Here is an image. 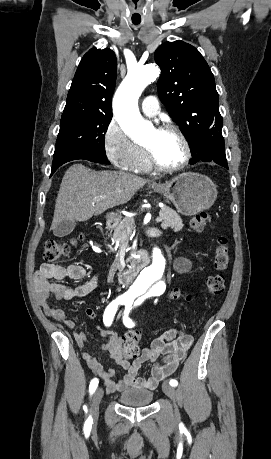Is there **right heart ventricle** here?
<instances>
[{"mask_svg": "<svg viewBox=\"0 0 271 459\" xmlns=\"http://www.w3.org/2000/svg\"><path fill=\"white\" fill-rule=\"evenodd\" d=\"M152 168L153 164L147 155L145 147L139 144V154L131 162L129 169L138 173H143L150 171Z\"/></svg>", "mask_w": 271, "mask_h": 459, "instance_id": "obj_1", "label": "right heart ventricle"}]
</instances>
